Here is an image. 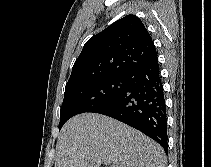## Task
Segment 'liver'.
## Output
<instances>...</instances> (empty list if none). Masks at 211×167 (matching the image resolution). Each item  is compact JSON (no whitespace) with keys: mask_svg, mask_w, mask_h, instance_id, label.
Segmentation results:
<instances>
[{"mask_svg":"<svg viewBox=\"0 0 211 167\" xmlns=\"http://www.w3.org/2000/svg\"><path fill=\"white\" fill-rule=\"evenodd\" d=\"M165 167L162 147L113 118L84 113L63 126L55 167Z\"/></svg>","mask_w":211,"mask_h":167,"instance_id":"1","label":"liver"}]
</instances>
